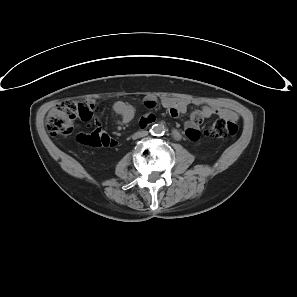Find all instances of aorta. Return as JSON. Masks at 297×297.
<instances>
[{"label":"aorta","mask_w":297,"mask_h":297,"mask_svg":"<svg viewBox=\"0 0 297 297\" xmlns=\"http://www.w3.org/2000/svg\"><path fill=\"white\" fill-rule=\"evenodd\" d=\"M166 127L163 124H155L152 126L151 133L155 136L164 135Z\"/></svg>","instance_id":"1"}]
</instances>
